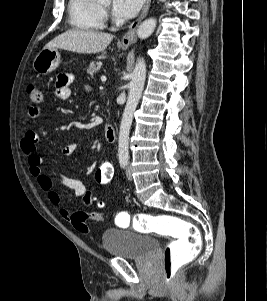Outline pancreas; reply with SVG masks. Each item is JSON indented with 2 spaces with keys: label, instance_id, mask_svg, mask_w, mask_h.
<instances>
[{
  "label": "pancreas",
  "instance_id": "cf45deb5",
  "mask_svg": "<svg viewBox=\"0 0 267 301\" xmlns=\"http://www.w3.org/2000/svg\"><path fill=\"white\" fill-rule=\"evenodd\" d=\"M101 66H102V63H101V62H94V61H92V62L90 63V65H89L88 67H86V69H85V70H86V73H87L91 78H93V77L96 75V73L99 72Z\"/></svg>",
  "mask_w": 267,
  "mask_h": 301
}]
</instances>
